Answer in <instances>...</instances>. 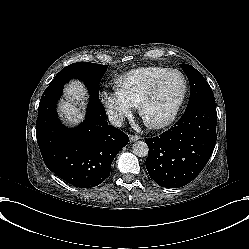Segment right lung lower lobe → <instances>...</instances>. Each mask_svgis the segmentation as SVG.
<instances>
[{
	"instance_id": "1",
	"label": "right lung lower lobe",
	"mask_w": 249,
	"mask_h": 249,
	"mask_svg": "<svg viewBox=\"0 0 249 249\" xmlns=\"http://www.w3.org/2000/svg\"><path fill=\"white\" fill-rule=\"evenodd\" d=\"M62 86L49 85L38 108L36 135L48 169L68 183L95 187L109 175L113 159L129 138L108 125L100 101L90 98L85 121L74 129L65 127L56 113Z\"/></svg>"
}]
</instances>
